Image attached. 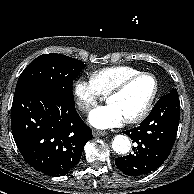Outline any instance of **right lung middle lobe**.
I'll use <instances>...</instances> for the list:
<instances>
[{
	"label": "right lung middle lobe",
	"mask_w": 194,
	"mask_h": 194,
	"mask_svg": "<svg viewBox=\"0 0 194 194\" xmlns=\"http://www.w3.org/2000/svg\"><path fill=\"white\" fill-rule=\"evenodd\" d=\"M84 67L82 61L62 54H43L23 70L15 93L41 89L60 97L72 98L73 79Z\"/></svg>",
	"instance_id": "obj_1"
}]
</instances>
